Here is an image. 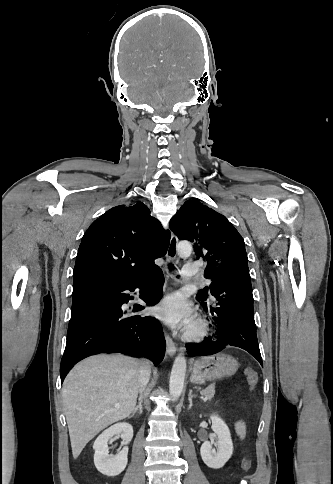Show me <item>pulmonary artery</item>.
<instances>
[{
    "mask_svg": "<svg viewBox=\"0 0 333 484\" xmlns=\"http://www.w3.org/2000/svg\"><path fill=\"white\" fill-rule=\"evenodd\" d=\"M198 273H199L198 266L194 263H188V264L184 265L183 270H182V274L185 277L197 276Z\"/></svg>",
    "mask_w": 333,
    "mask_h": 484,
    "instance_id": "pulmonary-artery-1",
    "label": "pulmonary artery"
}]
</instances>
